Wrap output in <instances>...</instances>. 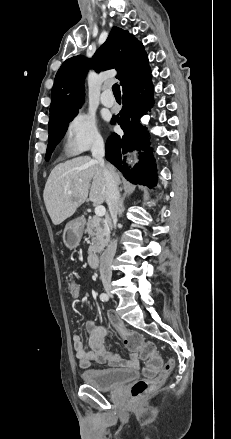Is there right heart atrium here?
I'll list each match as a JSON object with an SVG mask.
<instances>
[{"label": "right heart atrium", "instance_id": "d8ad5b80", "mask_svg": "<svg viewBox=\"0 0 231 439\" xmlns=\"http://www.w3.org/2000/svg\"><path fill=\"white\" fill-rule=\"evenodd\" d=\"M104 141L96 121L89 114H77L67 124L65 150L69 155H79L103 147Z\"/></svg>", "mask_w": 231, "mask_h": 439}]
</instances>
